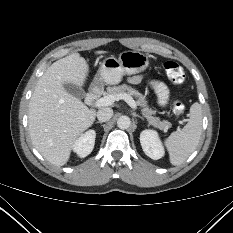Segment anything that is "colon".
<instances>
[{"instance_id":"1","label":"colon","mask_w":233,"mask_h":233,"mask_svg":"<svg viewBox=\"0 0 233 233\" xmlns=\"http://www.w3.org/2000/svg\"><path fill=\"white\" fill-rule=\"evenodd\" d=\"M163 69L169 81L174 85H182L185 81V73L183 68L175 61H165ZM186 110L185 104L180 100H175L173 103V113L176 116H181Z\"/></svg>"}]
</instances>
